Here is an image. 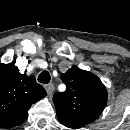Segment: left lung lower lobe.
Returning <instances> with one entry per match:
<instances>
[{
	"mask_svg": "<svg viewBox=\"0 0 130 130\" xmlns=\"http://www.w3.org/2000/svg\"><path fill=\"white\" fill-rule=\"evenodd\" d=\"M57 117L61 124H63L64 126H66L68 128H72V129L81 128V127L89 124V122H87L85 120L73 118V117L61 114L59 112H57Z\"/></svg>",
	"mask_w": 130,
	"mask_h": 130,
	"instance_id": "obj_1",
	"label": "left lung lower lobe"
}]
</instances>
